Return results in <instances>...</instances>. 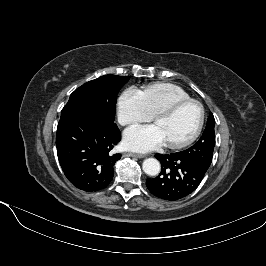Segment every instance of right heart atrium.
<instances>
[{"instance_id": "d8ad5b80", "label": "right heart atrium", "mask_w": 266, "mask_h": 266, "mask_svg": "<svg viewBox=\"0 0 266 266\" xmlns=\"http://www.w3.org/2000/svg\"><path fill=\"white\" fill-rule=\"evenodd\" d=\"M118 118L122 125H134L151 119L140 90L129 87L123 91L118 99Z\"/></svg>"}]
</instances>
